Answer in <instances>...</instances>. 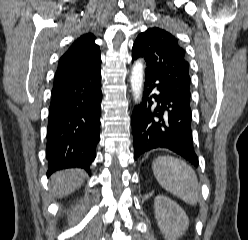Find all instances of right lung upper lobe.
Segmentation results:
<instances>
[{
  "label": "right lung upper lobe",
  "instance_id": "right-lung-upper-lobe-1",
  "mask_svg": "<svg viewBox=\"0 0 248 240\" xmlns=\"http://www.w3.org/2000/svg\"><path fill=\"white\" fill-rule=\"evenodd\" d=\"M92 33L80 36L60 58L54 87L64 86L100 71V48Z\"/></svg>",
  "mask_w": 248,
  "mask_h": 240
}]
</instances>
